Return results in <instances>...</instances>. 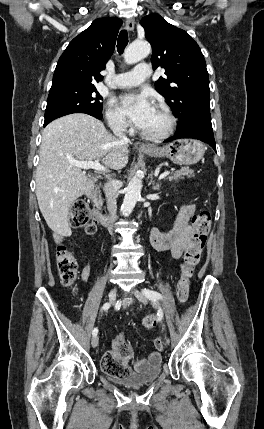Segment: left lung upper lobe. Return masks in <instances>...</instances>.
Masks as SVG:
<instances>
[{
  "label": "left lung upper lobe",
  "instance_id": "obj_1",
  "mask_svg": "<svg viewBox=\"0 0 264 429\" xmlns=\"http://www.w3.org/2000/svg\"><path fill=\"white\" fill-rule=\"evenodd\" d=\"M140 24L152 46L153 67L165 69L155 89L165 97L178 127L187 126L194 116L210 112L209 77L204 56L198 44L158 14L144 17Z\"/></svg>",
  "mask_w": 264,
  "mask_h": 429
}]
</instances>
